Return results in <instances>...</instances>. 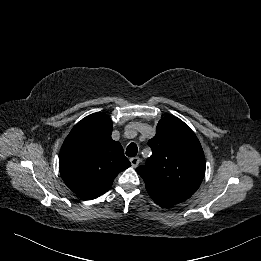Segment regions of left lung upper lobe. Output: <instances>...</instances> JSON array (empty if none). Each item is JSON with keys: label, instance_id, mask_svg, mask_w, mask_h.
<instances>
[{"label": "left lung upper lobe", "instance_id": "obj_1", "mask_svg": "<svg viewBox=\"0 0 261 261\" xmlns=\"http://www.w3.org/2000/svg\"><path fill=\"white\" fill-rule=\"evenodd\" d=\"M152 155L136 171L148 192L190 198L205 175V157L194 132L179 118L166 116L148 141Z\"/></svg>", "mask_w": 261, "mask_h": 261}]
</instances>
